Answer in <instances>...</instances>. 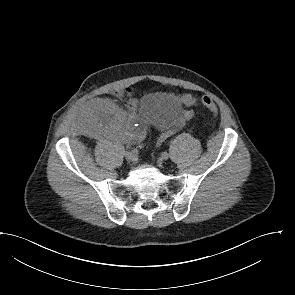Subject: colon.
Returning a JSON list of instances; mask_svg holds the SVG:
<instances>
[{
    "label": "colon",
    "mask_w": 295,
    "mask_h": 295,
    "mask_svg": "<svg viewBox=\"0 0 295 295\" xmlns=\"http://www.w3.org/2000/svg\"><path fill=\"white\" fill-rule=\"evenodd\" d=\"M196 103V100L194 99L192 102H191V105H194ZM200 103L206 107L208 110H210L214 115L217 114L218 112V108L215 104V102L212 100L211 97L209 96H203L201 97L200 99Z\"/></svg>",
    "instance_id": "colon-1"
}]
</instances>
